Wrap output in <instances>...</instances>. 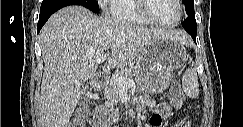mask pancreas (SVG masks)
I'll return each mask as SVG.
<instances>
[{
  "mask_svg": "<svg viewBox=\"0 0 243 127\" xmlns=\"http://www.w3.org/2000/svg\"><path fill=\"white\" fill-rule=\"evenodd\" d=\"M120 76L124 77L125 80L131 79L133 76H135L134 68L133 67L123 68L119 72H116L111 77L109 85L104 90V97L107 100V105L109 106L110 111H113L112 106L117 105L119 101V92L121 86L118 83V78Z\"/></svg>",
  "mask_w": 243,
  "mask_h": 127,
  "instance_id": "cf45deb5",
  "label": "pancreas"
}]
</instances>
